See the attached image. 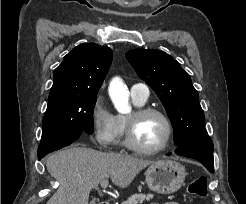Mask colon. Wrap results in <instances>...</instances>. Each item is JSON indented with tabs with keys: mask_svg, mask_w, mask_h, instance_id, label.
<instances>
[{
	"mask_svg": "<svg viewBox=\"0 0 246 204\" xmlns=\"http://www.w3.org/2000/svg\"><path fill=\"white\" fill-rule=\"evenodd\" d=\"M190 195L196 198H204L208 194V181L205 176L194 179L188 186Z\"/></svg>",
	"mask_w": 246,
	"mask_h": 204,
	"instance_id": "obj_1",
	"label": "colon"
}]
</instances>
